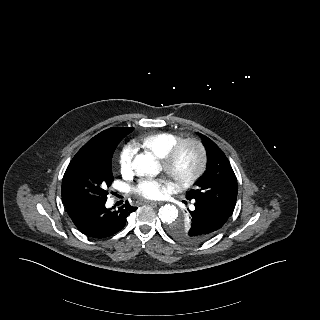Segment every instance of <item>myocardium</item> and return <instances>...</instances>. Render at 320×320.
I'll return each mask as SVG.
<instances>
[{
	"label": "myocardium",
	"instance_id": "1",
	"mask_svg": "<svg viewBox=\"0 0 320 320\" xmlns=\"http://www.w3.org/2000/svg\"><path fill=\"white\" fill-rule=\"evenodd\" d=\"M191 146L197 153L196 168L186 176H179L176 172V165L183 149ZM207 164V153L201 140L188 137L180 139L162 158V165L166 174L170 177L177 189H185L195 183L204 173Z\"/></svg>",
	"mask_w": 320,
	"mask_h": 320
}]
</instances>
